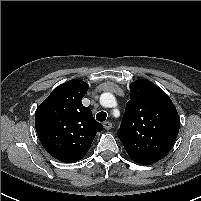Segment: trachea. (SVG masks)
Listing matches in <instances>:
<instances>
[{"label":"trachea","mask_w":201,"mask_h":201,"mask_svg":"<svg viewBox=\"0 0 201 201\" xmlns=\"http://www.w3.org/2000/svg\"><path fill=\"white\" fill-rule=\"evenodd\" d=\"M106 118H107V113H106V112H103V111L97 113V115H96V119H97L98 121H100V122L105 121Z\"/></svg>","instance_id":"trachea-1"}]
</instances>
